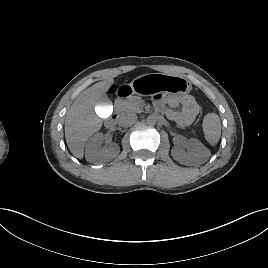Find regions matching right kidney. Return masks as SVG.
Segmentation results:
<instances>
[{
	"instance_id": "right-kidney-1",
	"label": "right kidney",
	"mask_w": 268,
	"mask_h": 268,
	"mask_svg": "<svg viewBox=\"0 0 268 268\" xmlns=\"http://www.w3.org/2000/svg\"><path fill=\"white\" fill-rule=\"evenodd\" d=\"M103 142L104 136L101 133H97L89 139L85 150V158L88 162L104 164L119 154L120 147L117 144L110 143L102 146Z\"/></svg>"
}]
</instances>
